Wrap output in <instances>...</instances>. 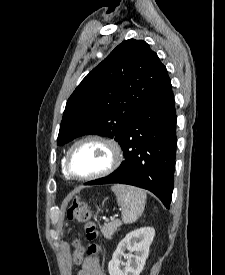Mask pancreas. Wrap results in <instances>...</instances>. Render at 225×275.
<instances>
[{"label": "pancreas", "instance_id": "obj_1", "mask_svg": "<svg viewBox=\"0 0 225 275\" xmlns=\"http://www.w3.org/2000/svg\"><path fill=\"white\" fill-rule=\"evenodd\" d=\"M121 225L120 220H114L112 222H109L107 224H104L101 227V232L103 236L107 239H110L112 235L117 231V228Z\"/></svg>", "mask_w": 225, "mask_h": 275}]
</instances>
